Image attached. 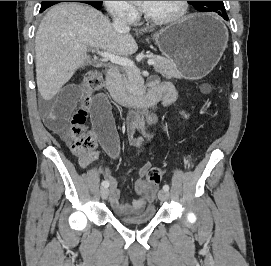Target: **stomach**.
I'll use <instances>...</instances> for the list:
<instances>
[{"label": "stomach", "mask_w": 271, "mask_h": 266, "mask_svg": "<svg viewBox=\"0 0 271 266\" xmlns=\"http://www.w3.org/2000/svg\"><path fill=\"white\" fill-rule=\"evenodd\" d=\"M153 38L162 54L175 63L179 77L197 80L219 62L228 31L217 17L195 14L161 29Z\"/></svg>", "instance_id": "1"}]
</instances>
